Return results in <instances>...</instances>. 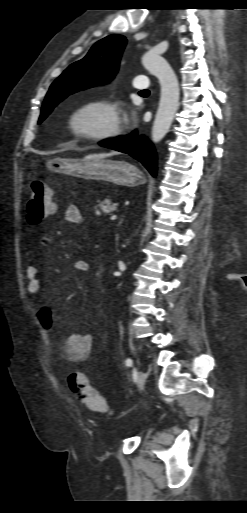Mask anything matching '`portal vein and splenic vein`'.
I'll list each match as a JSON object with an SVG mask.
<instances>
[{
	"mask_svg": "<svg viewBox=\"0 0 247 513\" xmlns=\"http://www.w3.org/2000/svg\"><path fill=\"white\" fill-rule=\"evenodd\" d=\"M116 219H117V216H116V215H113V216H111V217H110V220H112V221H113V220H116Z\"/></svg>",
	"mask_w": 247,
	"mask_h": 513,
	"instance_id": "obj_1",
	"label": "portal vein and splenic vein"
}]
</instances>
